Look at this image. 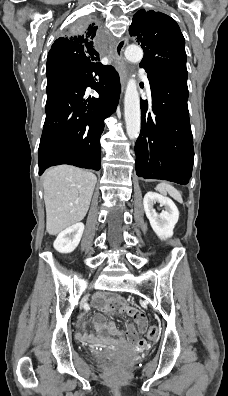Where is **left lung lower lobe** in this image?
Masks as SVG:
<instances>
[{"label":"left lung lower lobe","mask_w":228,"mask_h":396,"mask_svg":"<svg viewBox=\"0 0 228 396\" xmlns=\"http://www.w3.org/2000/svg\"><path fill=\"white\" fill-rule=\"evenodd\" d=\"M152 106L141 100V132L135 145L136 174L186 185L194 148L188 111L187 83L164 71H146Z\"/></svg>","instance_id":"obj_1"}]
</instances>
